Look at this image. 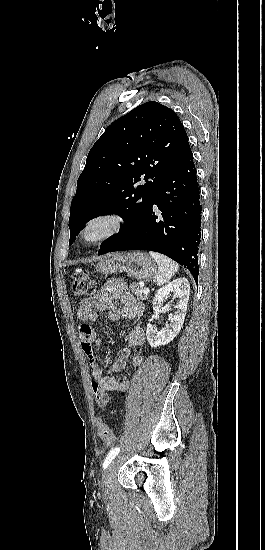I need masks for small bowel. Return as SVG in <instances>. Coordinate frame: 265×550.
I'll return each instance as SVG.
<instances>
[{
    "label": "small bowel",
    "instance_id": "obj_1",
    "mask_svg": "<svg viewBox=\"0 0 265 550\" xmlns=\"http://www.w3.org/2000/svg\"><path fill=\"white\" fill-rule=\"evenodd\" d=\"M98 312H107L112 321L135 320L143 315L144 306L132 295L123 280H109L93 297L80 303L78 317L81 321L90 323L95 321ZM80 339L83 351L91 365L92 391L94 385L106 394L110 391L128 390L130 380L118 379L116 375L124 371L130 356L129 349L144 344L143 329L137 326L130 328L125 337L126 348L109 366L103 365L96 355L95 347L101 345V340L91 326L83 325L80 328ZM143 360L142 355H136L132 363L137 367Z\"/></svg>",
    "mask_w": 265,
    "mask_h": 550
}]
</instances>
